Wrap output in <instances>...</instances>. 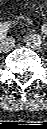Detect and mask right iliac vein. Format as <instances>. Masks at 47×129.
Listing matches in <instances>:
<instances>
[{
    "label": "right iliac vein",
    "instance_id": "right-iliac-vein-1",
    "mask_svg": "<svg viewBox=\"0 0 47 129\" xmlns=\"http://www.w3.org/2000/svg\"><path fill=\"white\" fill-rule=\"evenodd\" d=\"M14 47V41L12 38H7L1 43V49L4 52L10 51Z\"/></svg>",
    "mask_w": 47,
    "mask_h": 129
}]
</instances>
